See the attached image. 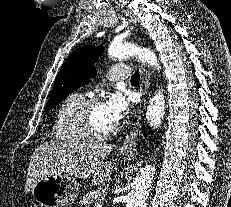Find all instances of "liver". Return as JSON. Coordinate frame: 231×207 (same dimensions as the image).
Masks as SVG:
<instances>
[{
    "label": "liver",
    "mask_w": 231,
    "mask_h": 207,
    "mask_svg": "<svg viewBox=\"0 0 231 207\" xmlns=\"http://www.w3.org/2000/svg\"><path fill=\"white\" fill-rule=\"evenodd\" d=\"M112 148L105 143L89 142H51L40 145L30 160L25 192H30L40 178L57 173L77 178L91 176L93 184L107 181L113 166L104 160Z\"/></svg>",
    "instance_id": "6515ba94"
}]
</instances>
